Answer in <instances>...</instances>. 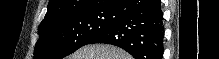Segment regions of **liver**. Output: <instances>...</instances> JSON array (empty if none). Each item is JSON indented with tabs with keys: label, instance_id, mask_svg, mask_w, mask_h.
<instances>
[{
	"label": "liver",
	"instance_id": "6515ba94",
	"mask_svg": "<svg viewBox=\"0 0 219 59\" xmlns=\"http://www.w3.org/2000/svg\"><path fill=\"white\" fill-rule=\"evenodd\" d=\"M66 59H132L124 50L111 45H86Z\"/></svg>",
	"mask_w": 219,
	"mask_h": 59
}]
</instances>
